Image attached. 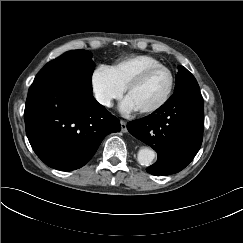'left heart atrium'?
Returning a JSON list of instances; mask_svg holds the SVG:
<instances>
[{
  "mask_svg": "<svg viewBox=\"0 0 243 243\" xmlns=\"http://www.w3.org/2000/svg\"><path fill=\"white\" fill-rule=\"evenodd\" d=\"M120 109L125 114H129V113L136 111V108L132 105V103L128 99H125L121 103Z\"/></svg>",
  "mask_w": 243,
  "mask_h": 243,
  "instance_id": "obj_1",
  "label": "left heart atrium"
}]
</instances>
